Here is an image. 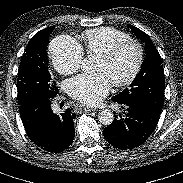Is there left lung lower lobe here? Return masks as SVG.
Instances as JSON below:
<instances>
[{
	"mask_svg": "<svg viewBox=\"0 0 183 183\" xmlns=\"http://www.w3.org/2000/svg\"><path fill=\"white\" fill-rule=\"evenodd\" d=\"M117 103L123 105L127 112L124 117L120 114V118L115 116L112 124L104 129L106 140L112 146L121 150L139 147L154 131L160 113L136 102Z\"/></svg>",
	"mask_w": 183,
	"mask_h": 183,
	"instance_id": "obj_1",
	"label": "left lung lower lobe"
}]
</instances>
